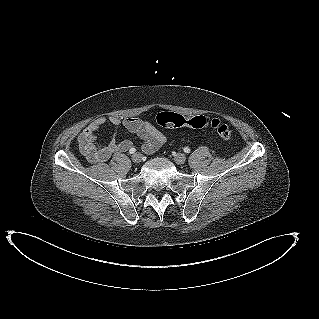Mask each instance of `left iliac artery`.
Returning a JSON list of instances; mask_svg holds the SVG:
<instances>
[{
	"instance_id": "1",
	"label": "left iliac artery",
	"mask_w": 319,
	"mask_h": 319,
	"mask_svg": "<svg viewBox=\"0 0 319 319\" xmlns=\"http://www.w3.org/2000/svg\"><path fill=\"white\" fill-rule=\"evenodd\" d=\"M183 150L185 153H190V148H188V147H185Z\"/></svg>"
}]
</instances>
